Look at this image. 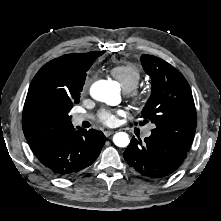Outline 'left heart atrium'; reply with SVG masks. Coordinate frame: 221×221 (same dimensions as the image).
I'll list each match as a JSON object with an SVG mask.
<instances>
[{
  "label": "left heart atrium",
  "instance_id": "left-heart-atrium-1",
  "mask_svg": "<svg viewBox=\"0 0 221 221\" xmlns=\"http://www.w3.org/2000/svg\"><path fill=\"white\" fill-rule=\"evenodd\" d=\"M121 113H122L121 110H119L117 112H113L110 110H102L100 112L99 117H100L101 122H103L106 125L112 126L117 123L116 114H121Z\"/></svg>",
  "mask_w": 221,
  "mask_h": 221
}]
</instances>
